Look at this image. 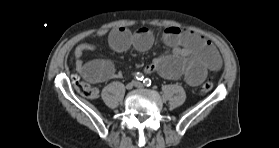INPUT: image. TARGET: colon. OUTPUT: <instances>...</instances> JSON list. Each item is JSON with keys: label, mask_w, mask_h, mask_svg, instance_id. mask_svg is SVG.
Listing matches in <instances>:
<instances>
[{"label": "colon", "mask_w": 279, "mask_h": 148, "mask_svg": "<svg viewBox=\"0 0 279 148\" xmlns=\"http://www.w3.org/2000/svg\"><path fill=\"white\" fill-rule=\"evenodd\" d=\"M73 85H74L75 89L77 90V92L86 98L92 99V98H96L98 95V90L95 87H93L92 85H90L87 82L80 80L77 77L73 78ZM212 88H213V82L211 79H208L199 87L198 93L200 95H204V94L208 93L209 91H211Z\"/></svg>", "instance_id": "colon-1"}]
</instances>
